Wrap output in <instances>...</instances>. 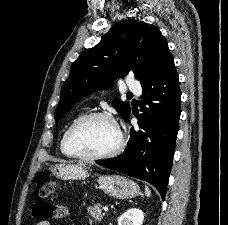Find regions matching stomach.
<instances>
[{
	"label": "stomach",
	"instance_id": "0dacf381",
	"mask_svg": "<svg viewBox=\"0 0 228 225\" xmlns=\"http://www.w3.org/2000/svg\"><path fill=\"white\" fill-rule=\"evenodd\" d=\"M49 171L57 179L85 181L88 177L85 165H52ZM97 183L101 191H105L109 197H115V199H133L140 195L138 185L120 175H101L98 177Z\"/></svg>",
	"mask_w": 228,
	"mask_h": 225
}]
</instances>
